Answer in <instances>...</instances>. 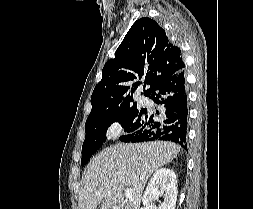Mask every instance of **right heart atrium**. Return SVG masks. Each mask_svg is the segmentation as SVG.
Wrapping results in <instances>:
<instances>
[{"label":"right heart atrium","instance_id":"d8ad5b80","mask_svg":"<svg viewBox=\"0 0 253 209\" xmlns=\"http://www.w3.org/2000/svg\"><path fill=\"white\" fill-rule=\"evenodd\" d=\"M120 130H121V128H120L119 123L114 122V123H112V124L108 127L106 133H107V136H108V137L114 138V137L118 136V134L120 133Z\"/></svg>","mask_w":253,"mask_h":209}]
</instances>
